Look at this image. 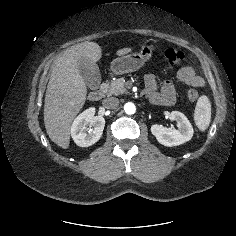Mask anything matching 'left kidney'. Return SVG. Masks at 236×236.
Here are the masks:
<instances>
[{"label":"left kidney","mask_w":236,"mask_h":236,"mask_svg":"<svg viewBox=\"0 0 236 236\" xmlns=\"http://www.w3.org/2000/svg\"><path fill=\"white\" fill-rule=\"evenodd\" d=\"M169 118L177 122L178 129H168L158 124L152 125L151 132L157 141L167 147L178 146L189 141L194 131L187 117L179 111H172Z\"/></svg>","instance_id":"left-kidney-1"}]
</instances>
